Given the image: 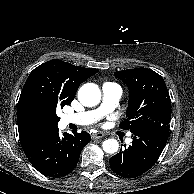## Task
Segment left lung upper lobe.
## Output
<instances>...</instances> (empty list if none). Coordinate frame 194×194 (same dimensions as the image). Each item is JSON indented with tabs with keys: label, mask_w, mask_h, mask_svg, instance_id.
I'll return each mask as SVG.
<instances>
[{
	"label": "left lung upper lobe",
	"mask_w": 194,
	"mask_h": 194,
	"mask_svg": "<svg viewBox=\"0 0 194 194\" xmlns=\"http://www.w3.org/2000/svg\"><path fill=\"white\" fill-rule=\"evenodd\" d=\"M129 89L127 118L120 128L132 131L138 127L166 128L171 119V100L163 78L148 68L114 73Z\"/></svg>",
	"instance_id": "1"
}]
</instances>
